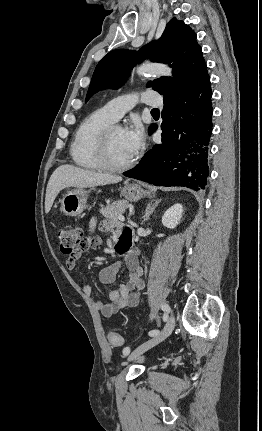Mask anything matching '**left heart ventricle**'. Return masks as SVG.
Segmentation results:
<instances>
[{"mask_svg":"<svg viewBox=\"0 0 262 431\" xmlns=\"http://www.w3.org/2000/svg\"><path fill=\"white\" fill-rule=\"evenodd\" d=\"M109 153L112 163L124 164L133 158L125 141L124 130L117 128L110 139Z\"/></svg>","mask_w":262,"mask_h":431,"instance_id":"left-heart-ventricle-1","label":"left heart ventricle"}]
</instances>
